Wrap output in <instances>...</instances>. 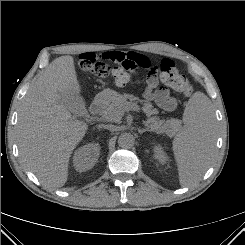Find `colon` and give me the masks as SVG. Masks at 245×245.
<instances>
[{
	"label": "colon",
	"mask_w": 245,
	"mask_h": 245,
	"mask_svg": "<svg viewBox=\"0 0 245 245\" xmlns=\"http://www.w3.org/2000/svg\"><path fill=\"white\" fill-rule=\"evenodd\" d=\"M109 65L105 60L92 52L80 55L79 65L84 70L96 77H112L118 85L127 84L131 77L139 72L141 68L136 60L130 57L123 58L121 61ZM150 79L157 77L165 85L188 96L192 92V85L189 80L178 71L172 60L161 59L149 72Z\"/></svg>",
	"instance_id": "1"
}]
</instances>
